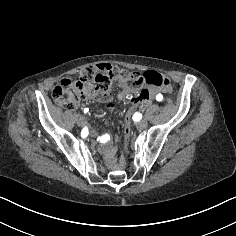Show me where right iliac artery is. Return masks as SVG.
<instances>
[{
    "label": "right iliac artery",
    "instance_id": "obj_1",
    "mask_svg": "<svg viewBox=\"0 0 236 236\" xmlns=\"http://www.w3.org/2000/svg\"><path fill=\"white\" fill-rule=\"evenodd\" d=\"M88 128L87 127H84L83 129H82V132H81V136H82V138H86L87 136H88Z\"/></svg>",
    "mask_w": 236,
    "mask_h": 236
}]
</instances>
